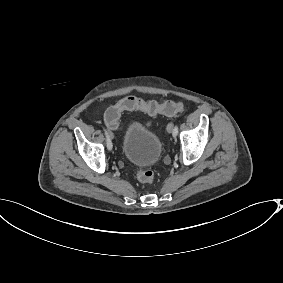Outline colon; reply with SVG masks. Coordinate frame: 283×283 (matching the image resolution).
Masks as SVG:
<instances>
[{"label": "colon", "instance_id": "1", "mask_svg": "<svg viewBox=\"0 0 283 283\" xmlns=\"http://www.w3.org/2000/svg\"><path fill=\"white\" fill-rule=\"evenodd\" d=\"M184 105L181 102L166 101L164 103H157L155 101L146 102L136 97H127L117 103L115 106L109 108L104 116L106 126L111 130L119 128V119L124 111L138 110L149 115H174L181 112ZM137 178L142 183L152 184L155 180L154 173L145 168L137 169Z\"/></svg>", "mask_w": 283, "mask_h": 283}]
</instances>
